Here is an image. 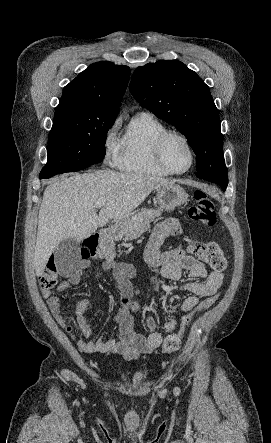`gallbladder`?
<instances>
[{
    "label": "gallbladder",
    "instance_id": "1",
    "mask_svg": "<svg viewBox=\"0 0 271 443\" xmlns=\"http://www.w3.org/2000/svg\"><path fill=\"white\" fill-rule=\"evenodd\" d=\"M55 257L57 259L56 273H62L63 276H66L67 273H77L78 269H82L79 243L74 237H68V239H63L61 243H58L55 249Z\"/></svg>",
    "mask_w": 271,
    "mask_h": 443
}]
</instances>
